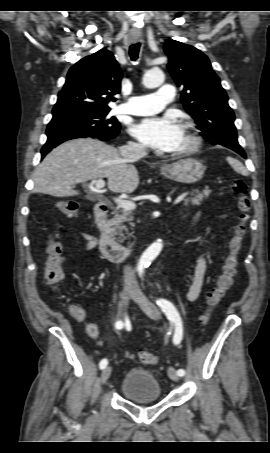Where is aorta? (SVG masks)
Masks as SVG:
<instances>
[{
    "label": "aorta",
    "instance_id": "obj_1",
    "mask_svg": "<svg viewBox=\"0 0 270 453\" xmlns=\"http://www.w3.org/2000/svg\"><path fill=\"white\" fill-rule=\"evenodd\" d=\"M164 82V73L162 70L155 68L151 69L145 73L143 77V84L147 88H155L160 86ZM163 247L162 241L158 240L154 242L151 246L141 256L138 267L140 269L149 265L161 252Z\"/></svg>",
    "mask_w": 270,
    "mask_h": 453
}]
</instances>
